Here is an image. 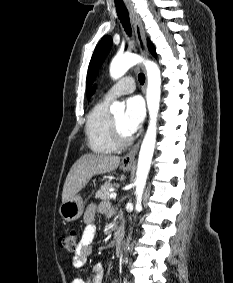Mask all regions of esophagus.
<instances>
[{
    "label": "esophagus",
    "instance_id": "34e87169",
    "mask_svg": "<svg viewBox=\"0 0 233 283\" xmlns=\"http://www.w3.org/2000/svg\"><path fill=\"white\" fill-rule=\"evenodd\" d=\"M129 13L134 26V30L141 54L143 55L144 58H147L148 49L146 43V33L144 30L143 23L133 8L129 7ZM140 141L136 145H134V147L122 158L123 163L129 164L134 162L135 156L139 149Z\"/></svg>",
    "mask_w": 233,
    "mask_h": 283
}]
</instances>
